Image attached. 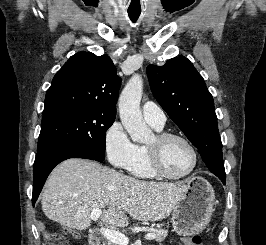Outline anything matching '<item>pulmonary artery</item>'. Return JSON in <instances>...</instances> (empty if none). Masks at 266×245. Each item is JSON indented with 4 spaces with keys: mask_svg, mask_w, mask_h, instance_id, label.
I'll list each match as a JSON object with an SVG mask.
<instances>
[{
    "mask_svg": "<svg viewBox=\"0 0 266 245\" xmlns=\"http://www.w3.org/2000/svg\"><path fill=\"white\" fill-rule=\"evenodd\" d=\"M142 113L144 119L151 125L161 128L166 123L165 113L159 106L151 104V100H144Z\"/></svg>",
    "mask_w": 266,
    "mask_h": 245,
    "instance_id": "obj_1",
    "label": "pulmonary artery"
}]
</instances>
